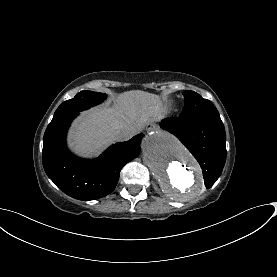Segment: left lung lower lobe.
Listing matches in <instances>:
<instances>
[{
    "mask_svg": "<svg viewBox=\"0 0 277 277\" xmlns=\"http://www.w3.org/2000/svg\"><path fill=\"white\" fill-rule=\"evenodd\" d=\"M160 126L175 135L199 162L205 186L210 188L226 161V134L220 118H166Z\"/></svg>",
    "mask_w": 277,
    "mask_h": 277,
    "instance_id": "obj_1",
    "label": "left lung lower lobe"
}]
</instances>
